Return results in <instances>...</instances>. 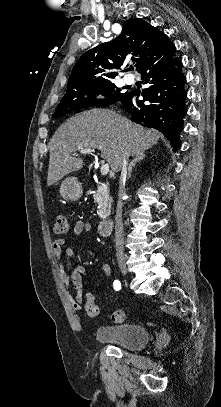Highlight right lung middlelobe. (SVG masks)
<instances>
[{
  "mask_svg": "<svg viewBox=\"0 0 221 407\" xmlns=\"http://www.w3.org/2000/svg\"><path fill=\"white\" fill-rule=\"evenodd\" d=\"M96 94L104 95L106 101L100 102L95 98L91 100L85 98V96L92 97ZM125 94L126 93L121 92L119 88H116L115 84L112 82L70 91L63 96L53 116H62L71 111L82 108L113 104L120 100Z\"/></svg>",
  "mask_w": 221,
  "mask_h": 407,
  "instance_id": "dd1d6c3e",
  "label": "right lung middle lobe"
}]
</instances>
